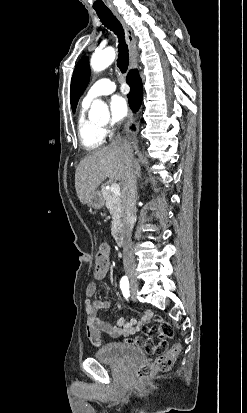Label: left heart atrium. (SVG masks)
<instances>
[{"mask_svg": "<svg viewBox=\"0 0 247 413\" xmlns=\"http://www.w3.org/2000/svg\"><path fill=\"white\" fill-rule=\"evenodd\" d=\"M109 107L115 122H121L126 117L128 112L127 102L120 94L111 96L109 100Z\"/></svg>", "mask_w": 247, "mask_h": 413, "instance_id": "39dd6f15", "label": "left heart atrium"}]
</instances>
